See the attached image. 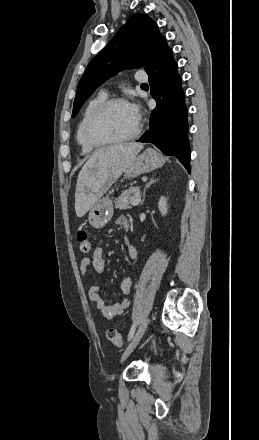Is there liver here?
Here are the masks:
<instances>
[{"instance_id": "obj_1", "label": "liver", "mask_w": 259, "mask_h": 440, "mask_svg": "<svg viewBox=\"0 0 259 440\" xmlns=\"http://www.w3.org/2000/svg\"><path fill=\"white\" fill-rule=\"evenodd\" d=\"M141 143L112 145L96 151L82 167L76 184L75 212L83 217L131 165Z\"/></svg>"}]
</instances>
